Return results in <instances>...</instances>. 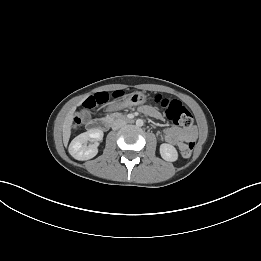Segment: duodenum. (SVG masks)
I'll return each mask as SVG.
<instances>
[{
	"label": "duodenum",
	"instance_id": "1",
	"mask_svg": "<svg viewBox=\"0 0 261 261\" xmlns=\"http://www.w3.org/2000/svg\"><path fill=\"white\" fill-rule=\"evenodd\" d=\"M126 122H133L135 118L133 116L124 117ZM112 121L110 119H98L91 123V129L106 131L111 126Z\"/></svg>",
	"mask_w": 261,
	"mask_h": 261
}]
</instances>
